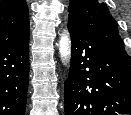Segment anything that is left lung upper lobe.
I'll return each mask as SVG.
<instances>
[{
    "instance_id": "5c2ea615",
    "label": "left lung upper lobe",
    "mask_w": 131,
    "mask_h": 115,
    "mask_svg": "<svg viewBox=\"0 0 131 115\" xmlns=\"http://www.w3.org/2000/svg\"><path fill=\"white\" fill-rule=\"evenodd\" d=\"M69 20L99 39L114 55L130 63L118 34L116 21L104 3L98 0H70Z\"/></svg>"
}]
</instances>
